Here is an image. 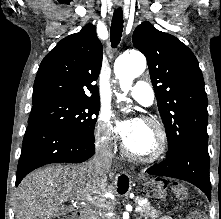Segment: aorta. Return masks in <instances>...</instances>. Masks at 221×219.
I'll use <instances>...</instances> for the list:
<instances>
[{
	"instance_id": "762f6f07",
	"label": "aorta",
	"mask_w": 221,
	"mask_h": 219,
	"mask_svg": "<svg viewBox=\"0 0 221 219\" xmlns=\"http://www.w3.org/2000/svg\"><path fill=\"white\" fill-rule=\"evenodd\" d=\"M146 67V59L141 54H126L119 56L114 63L115 76L121 82V88L128 91L133 79L140 76Z\"/></svg>"
}]
</instances>
